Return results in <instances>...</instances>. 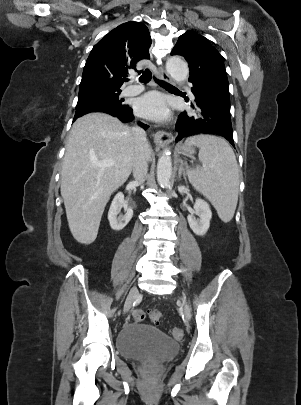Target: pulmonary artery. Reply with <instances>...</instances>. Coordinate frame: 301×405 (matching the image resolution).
I'll use <instances>...</instances> for the list:
<instances>
[{
	"instance_id": "e3ab8cb5",
	"label": "pulmonary artery",
	"mask_w": 301,
	"mask_h": 405,
	"mask_svg": "<svg viewBox=\"0 0 301 405\" xmlns=\"http://www.w3.org/2000/svg\"><path fill=\"white\" fill-rule=\"evenodd\" d=\"M143 89H144V87L142 85L132 84L125 88L124 94L129 95V96L137 95L140 92H142ZM191 96H192V94H191Z\"/></svg>"
}]
</instances>
